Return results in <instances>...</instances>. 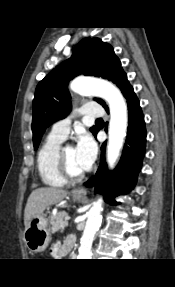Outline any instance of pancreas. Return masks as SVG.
Returning a JSON list of instances; mask_svg holds the SVG:
<instances>
[{
	"label": "pancreas",
	"instance_id": "pancreas-1",
	"mask_svg": "<svg viewBox=\"0 0 175 287\" xmlns=\"http://www.w3.org/2000/svg\"><path fill=\"white\" fill-rule=\"evenodd\" d=\"M68 214L65 211H60L56 215L50 217V224L52 232L63 231L64 228L68 225L65 217Z\"/></svg>",
	"mask_w": 175,
	"mask_h": 287
}]
</instances>
